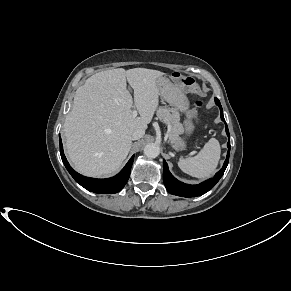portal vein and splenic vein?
I'll return each instance as SVG.
<instances>
[{
  "mask_svg": "<svg viewBox=\"0 0 291 291\" xmlns=\"http://www.w3.org/2000/svg\"><path fill=\"white\" fill-rule=\"evenodd\" d=\"M132 116H133V117H136V116H137V110H136V109H134V110L132 111Z\"/></svg>",
  "mask_w": 291,
  "mask_h": 291,
  "instance_id": "obj_1",
  "label": "portal vein and splenic vein"
}]
</instances>
